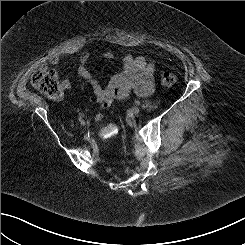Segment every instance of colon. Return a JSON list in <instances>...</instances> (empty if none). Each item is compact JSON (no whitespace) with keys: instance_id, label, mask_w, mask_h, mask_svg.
Here are the masks:
<instances>
[{"instance_id":"colon-1","label":"colon","mask_w":245,"mask_h":245,"mask_svg":"<svg viewBox=\"0 0 245 245\" xmlns=\"http://www.w3.org/2000/svg\"><path fill=\"white\" fill-rule=\"evenodd\" d=\"M160 83L164 88H170L176 83V76L165 71L160 76ZM31 84L49 98L58 99L62 96L56 73L47 67H41L33 73Z\"/></svg>"}]
</instances>
